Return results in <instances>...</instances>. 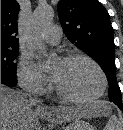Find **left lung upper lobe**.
Here are the masks:
<instances>
[{
  "label": "left lung upper lobe",
  "mask_w": 123,
  "mask_h": 130,
  "mask_svg": "<svg viewBox=\"0 0 123 130\" xmlns=\"http://www.w3.org/2000/svg\"><path fill=\"white\" fill-rule=\"evenodd\" d=\"M58 15L68 39L91 56L105 72L110 100L123 108L115 79L114 36L107 10L98 0H60Z\"/></svg>",
  "instance_id": "left-lung-upper-lobe-1"
}]
</instances>
